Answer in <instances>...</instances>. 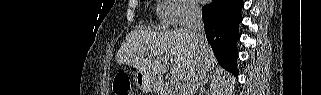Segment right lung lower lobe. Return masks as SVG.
Listing matches in <instances>:
<instances>
[{"instance_id": "right-lung-lower-lobe-1", "label": "right lung lower lobe", "mask_w": 321, "mask_h": 95, "mask_svg": "<svg viewBox=\"0 0 321 95\" xmlns=\"http://www.w3.org/2000/svg\"><path fill=\"white\" fill-rule=\"evenodd\" d=\"M242 7V0H212L202 12L206 37L218 63L235 75H238L236 42Z\"/></svg>"}]
</instances>
